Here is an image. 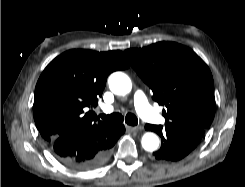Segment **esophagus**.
<instances>
[{"mask_svg": "<svg viewBox=\"0 0 245 187\" xmlns=\"http://www.w3.org/2000/svg\"><path fill=\"white\" fill-rule=\"evenodd\" d=\"M126 129H127V131L134 132V131L143 130V127L142 126H129V125H126Z\"/></svg>", "mask_w": 245, "mask_h": 187, "instance_id": "esophagus-1", "label": "esophagus"}]
</instances>
